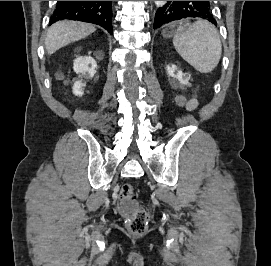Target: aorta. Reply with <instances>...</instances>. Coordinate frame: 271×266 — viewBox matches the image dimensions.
Masks as SVG:
<instances>
[{
    "label": "aorta",
    "mask_w": 271,
    "mask_h": 266,
    "mask_svg": "<svg viewBox=\"0 0 271 266\" xmlns=\"http://www.w3.org/2000/svg\"><path fill=\"white\" fill-rule=\"evenodd\" d=\"M154 2L157 7H162L167 3V1H154Z\"/></svg>",
    "instance_id": "obj_1"
}]
</instances>
